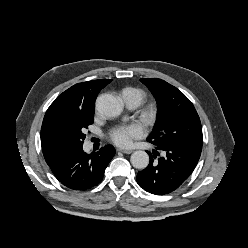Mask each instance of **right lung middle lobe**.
<instances>
[{
	"label": "right lung middle lobe",
	"mask_w": 248,
	"mask_h": 248,
	"mask_svg": "<svg viewBox=\"0 0 248 248\" xmlns=\"http://www.w3.org/2000/svg\"><path fill=\"white\" fill-rule=\"evenodd\" d=\"M94 112H75L63 116L57 122V132L70 147L83 145L85 129L93 123Z\"/></svg>",
	"instance_id": "obj_1"
}]
</instances>
